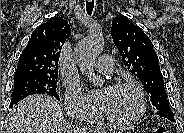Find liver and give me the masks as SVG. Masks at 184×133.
I'll list each match as a JSON object with an SVG mask.
<instances>
[{"instance_id":"liver-1","label":"liver","mask_w":184,"mask_h":133,"mask_svg":"<svg viewBox=\"0 0 184 133\" xmlns=\"http://www.w3.org/2000/svg\"><path fill=\"white\" fill-rule=\"evenodd\" d=\"M5 133H80L63 117L53 97L36 94L15 105L8 113Z\"/></svg>"}]
</instances>
